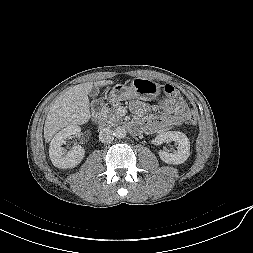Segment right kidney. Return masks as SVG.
<instances>
[{
	"mask_svg": "<svg viewBox=\"0 0 253 253\" xmlns=\"http://www.w3.org/2000/svg\"><path fill=\"white\" fill-rule=\"evenodd\" d=\"M78 126L70 125L57 133L52 139L49 147V156L53 165L57 168L67 169L76 167L83 159L85 150L80 145L73 146L68 152L62 145L67 138L80 133Z\"/></svg>",
	"mask_w": 253,
	"mask_h": 253,
	"instance_id": "right-kidney-1",
	"label": "right kidney"
}]
</instances>
